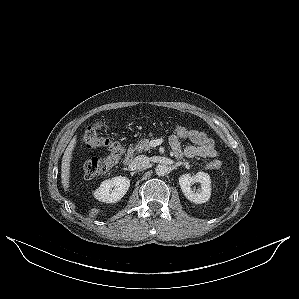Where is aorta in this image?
I'll list each match as a JSON object with an SVG mask.
<instances>
[{"mask_svg": "<svg viewBox=\"0 0 299 299\" xmlns=\"http://www.w3.org/2000/svg\"><path fill=\"white\" fill-rule=\"evenodd\" d=\"M169 168L165 164H158L155 168V172L158 176H165L167 175Z\"/></svg>", "mask_w": 299, "mask_h": 299, "instance_id": "762f6f07", "label": "aorta"}]
</instances>
